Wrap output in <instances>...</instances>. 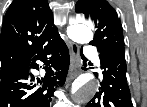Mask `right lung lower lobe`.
Here are the masks:
<instances>
[{
  "mask_svg": "<svg viewBox=\"0 0 147 107\" xmlns=\"http://www.w3.org/2000/svg\"><path fill=\"white\" fill-rule=\"evenodd\" d=\"M69 60L67 46L59 35L22 64L3 72L0 75V107H49L57 81L63 85L66 80ZM36 61H41L42 65ZM30 69H42L44 78L36 82Z\"/></svg>",
  "mask_w": 147,
  "mask_h": 107,
  "instance_id": "right-lung-lower-lobe-1",
  "label": "right lung lower lobe"
}]
</instances>
